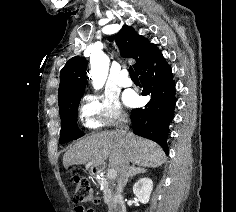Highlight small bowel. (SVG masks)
I'll return each mask as SVG.
<instances>
[{"label": "small bowel", "mask_w": 236, "mask_h": 212, "mask_svg": "<svg viewBox=\"0 0 236 212\" xmlns=\"http://www.w3.org/2000/svg\"><path fill=\"white\" fill-rule=\"evenodd\" d=\"M87 205H78L75 212H92L91 209H87Z\"/></svg>", "instance_id": "c3829d8e"}]
</instances>
